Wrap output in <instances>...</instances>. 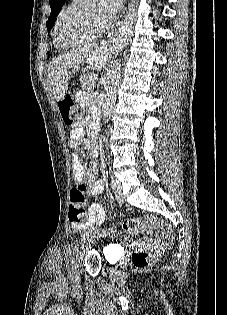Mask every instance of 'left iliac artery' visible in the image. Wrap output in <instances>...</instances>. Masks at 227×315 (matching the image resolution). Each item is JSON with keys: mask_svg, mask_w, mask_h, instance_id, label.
Here are the masks:
<instances>
[{"mask_svg": "<svg viewBox=\"0 0 227 315\" xmlns=\"http://www.w3.org/2000/svg\"><path fill=\"white\" fill-rule=\"evenodd\" d=\"M110 185H111V187L113 188V186L115 185V180H114V179L111 180ZM94 229H95L94 227H92L91 229H89V230L82 236L81 241L86 240V238H88V237L93 233Z\"/></svg>", "mask_w": 227, "mask_h": 315, "instance_id": "44dca946", "label": "left iliac artery"}]
</instances>
